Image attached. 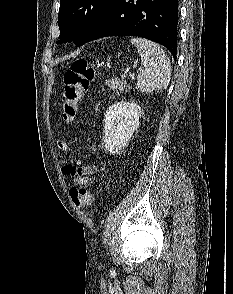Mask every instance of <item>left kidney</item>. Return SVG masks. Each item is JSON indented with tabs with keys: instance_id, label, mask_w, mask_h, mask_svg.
Listing matches in <instances>:
<instances>
[{
	"instance_id": "1",
	"label": "left kidney",
	"mask_w": 233,
	"mask_h": 294,
	"mask_svg": "<svg viewBox=\"0 0 233 294\" xmlns=\"http://www.w3.org/2000/svg\"><path fill=\"white\" fill-rule=\"evenodd\" d=\"M142 110L135 102H116L104 119V144L110 154L118 153L129 142L139 126Z\"/></svg>"
}]
</instances>
